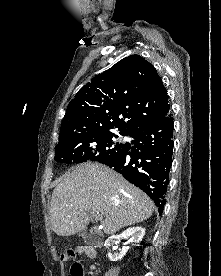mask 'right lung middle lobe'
Wrapping results in <instances>:
<instances>
[{
	"mask_svg": "<svg viewBox=\"0 0 221 276\" xmlns=\"http://www.w3.org/2000/svg\"><path fill=\"white\" fill-rule=\"evenodd\" d=\"M121 135H128L120 132ZM111 132H97L82 138L59 142L55 147V160L62 163L98 161L104 163L124 152L128 143L112 142Z\"/></svg>",
	"mask_w": 221,
	"mask_h": 276,
	"instance_id": "obj_1",
	"label": "right lung middle lobe"
}]
</instances>
